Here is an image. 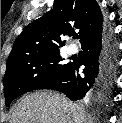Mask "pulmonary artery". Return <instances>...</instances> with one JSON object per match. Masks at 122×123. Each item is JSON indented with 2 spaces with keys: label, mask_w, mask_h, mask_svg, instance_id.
I'll return each instance as SVG.
<instances>
[{
  "label": "pulmonary artery",
  "mask_w": 122,
  "mask_h": 123,
  "mask_svg": "<svg viewBox=\"0 0 122 123\" xmlns=\"http://www.w3.org/2000/svg\"><path fill=\"white\" fill-rule=\"evenodd\" d=\"M68 53L73 55V54H76L78 52V47L74 44H71L68 46Z\"/></svg>",
  "instance_id": "obj_1"
}]
</instances>
